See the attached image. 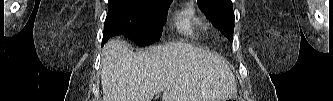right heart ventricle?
<instances>
[{"instance_id": "right-heart-ventricle-1", "label": "right heart ventricle", "mask_w": 333, "mask_h": 101, "mask_svg": "<svg viewBox=\"0 0 333 101\" xmlns=\"http://www.w3.org/2000/svg\"><path fill=\"white\" fill-rule=\"evenodd\" d=\"M175 27L185 36L198 37L206 31L207 23L194 6L189 4L177 14Z\"/></svg>"}]
</instances>
